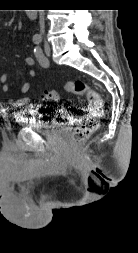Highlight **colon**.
Returning <instances> with one entry per match:
<instances>
[{
    "label": "colon",
    "mask_w": 138,
    "mask_h": 253,
    "mask_svg": "<svg viewBox=\"0 0 138 253\" xmlns=\"http://www.w3.org/2000/svg\"><path fill=\"white\" fill-rule=\"evenodd\" d=\"M64 90L68 93L84 95L88 100V107L85 113L79 116L78 125L72 134L74 143L84 142L98 128L99 119L103 115V98L82 80L66 83ZM58 99L59 94L57 91H49L42 95V100L46 102H56Z\"/></svg>",
    "instance_id": "1"
}]
</instances>
